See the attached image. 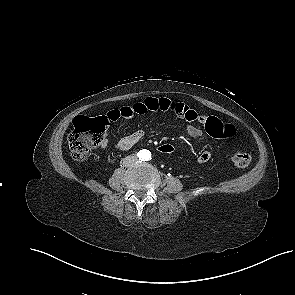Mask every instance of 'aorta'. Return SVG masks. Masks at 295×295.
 <instances>
[{
  "instance_id": "762f6f07",
  "label": "aorta",
  "mask_w": 295,
  "mask_h": 295,
  "mask_svg": "<svg viewBox=\"0 0 295 295\" xmlns=\"http://www.w3.org/2000/svg\"><path fill=\"white\" fill-rule=\"evenodd\" d=\"M150 158V155L148 154L147 156H146V159H149Z\"/></svg>"
}]
</instances>
